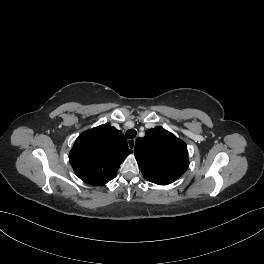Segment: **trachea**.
Returning <instances> with one entry per match:
<instances>
[{"mask_svg":"<svg viewBox=\"0 0 264 264\" xmlns=\"http://www.w3.org/2000/svg\"><path fill=\"white\" fill-rule=\"evenodd\" d=\"M137 132L135 129H129L126 131L125 135L128 139H133L136 136Z\"/></svg>","mask_w":264,"mask_h":264,"instance_id":"1","label":"trachea"}]
</instances>
